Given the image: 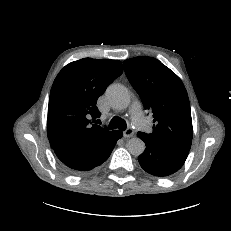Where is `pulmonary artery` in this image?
I'll return each mask as SVG.
<instances>
[{"mask_svg":"<svg viewBox=\"0 0 231 231\" xmlns=\"http://www.w3.org/2000/svg\"><path fill=\"white\" fill-rule=\"evenodd\" d=\"M130 114L132 122L136 127L143 128L145 126V119L143 116L141 104L135 100L130 107Z\"/></svg>","mask_w":231,"mask_h":231,"instance_id":"e3ab8cb5","label":"pulmonary artery"}]
</instances>
